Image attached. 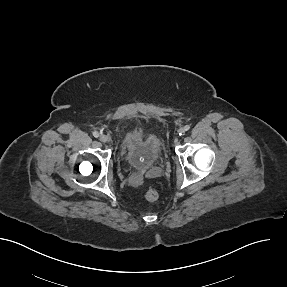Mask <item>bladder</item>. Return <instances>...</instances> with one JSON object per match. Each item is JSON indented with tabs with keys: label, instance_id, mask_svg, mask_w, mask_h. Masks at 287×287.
I'll list each match as a JSON object with an SVG mask.
<instances>
[{
	"label": "bladder",
	"instance_id": "bladder-1",
	"mask_svg": "<svg viewBox=\"0 0 287 287\" xmlns=\"http://www.w3.org/2000/svg\"><path fill=\"white\" fill-rule=\"evenodd\" d=\"M162 154V141L154 132L141 127L129 129L121 138L120 158L137 170L152 167Z\"/></svg>",
	"mask_w": 287,
	"mask_h": 287
}]
</instances>
